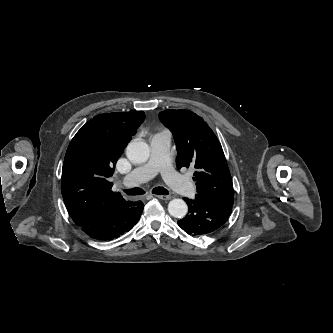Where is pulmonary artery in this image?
I'll return each mask as SVG.
<instances>
[{
	"label": "pulmonary artery",
	"instance_id": "obj_1",
	"mask_svg": "<svg viewBox=\"0 0 333 333\" xmlns=\"http://www.w3.org/2000/svg\"><path fill=\"white\" fill-rule=\"evenodd\" d=\"M150 157L124 178V185L133 187L144 183L160 173L164 181L177 192L188 195L194 190L192 182L178 174L170 164L171 135L158 132L150 137Z\"/></svg>",
	"mask_w": 333,
	"mask_h": 333
}]
</instances>
